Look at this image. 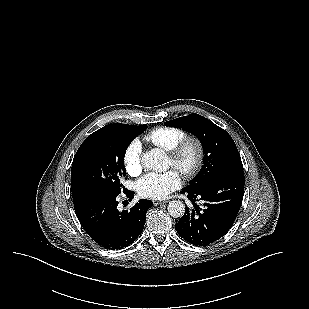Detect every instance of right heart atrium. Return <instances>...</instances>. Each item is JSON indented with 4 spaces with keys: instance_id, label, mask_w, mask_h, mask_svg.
Listing matches in <instances>:
<instances>
[{
    "instance_id": "obj_1",
    "label": "right heart atrium",
    "mask_w": 309,
    "mask_h": 309,
    "mask_svg": "<svg viewBox=\"0 0 309 309\" xmlns=\"http://www.w3.org/2000/svg\"><path fill=\"white\" fill-rule=\"evenodd\" d=\"M142 153V145L137 140L132 141L124 151V166L126 171L132 176H136L142 171Z\"/></svg>"
}]
</instances>
